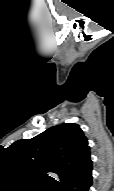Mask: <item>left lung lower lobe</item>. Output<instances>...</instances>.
Segmentation results:
<instances>
[{"mask_svg": "<svg viewBox=\"0 0 114 191\" xmlns=\"http://www.w3.org/2000/svg\"><path fill=\"white\" fill-rule=\"evenodd\" d=\"M92 168L89 158L60 188L61 191H89L92 184Z\"/></svg>", "mask_w": 114, "mask_h": 191, "instance_id": "left-lung-lower-lobe-1", "label": "left lung lower lobe"}]
</instances>
